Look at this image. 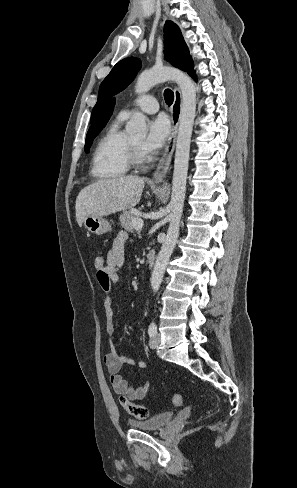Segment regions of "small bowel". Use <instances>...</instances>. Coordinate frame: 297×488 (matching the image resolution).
Here are the masks:
<instances>
[{
  "label": "small bowel",
  "mask_w": 297,
  "mask_h": 488,
  "mask_svg": "<svg viewBox=\"0 0 297 488\" xmlns=\"http://www.w3.org/2000/svg\"><path fill=\"white\" fill-rule=\"evenodd\" d=\"M128 239V234L125 231H120L108 250L105 257V265L101 270L97 271V281L105 293L104 307L105 318L107 323V333L112 338L115 332L113 326L114 313L112 309V299L110 291L114 285L119 283V269L123 266L125 261V244ZM111 349L104 357V363L107 367L110 383L116 394L127 398L128 400H142L148 391L149 384L145 383L139 387H131L127 380L121 373L124 365H137L139 368H146L147 362L145 360H135L134 358L120 354L110 342Z\"/></svg>",
  "instance_id": "1"
}]
</instances>
